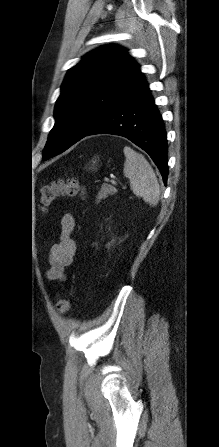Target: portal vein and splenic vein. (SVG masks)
I'll return each instance as SVG.
<instances>
[{
	"mask_svg": "<svg viewBox=\"0 0 219 447\" xmlns=\"http://www.w3.org/2000/svg\"><path fill=\"white\" fill-rule=\"evenodd\" d=\"M110 183H111L112 185H117V182H116L115 180H110Z\"/></svg>",
	"mask_w": 219,
	"mask_h": 447,
	"instance_id": "1",
	"label": "portal vein and splenic vein"
}]
</instances>
